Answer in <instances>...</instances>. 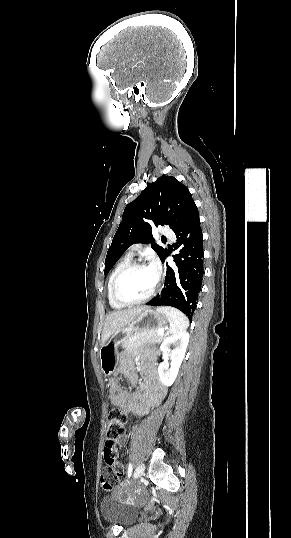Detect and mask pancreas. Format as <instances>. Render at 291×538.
I'll return each mask as SVG.
<instances>
[{
	"mask_svg": "<svg viewBox=\"0 0 291 538\" xmlns=\"http://www.w3.org/2000/svg\"><path fill=\"white\" fill-rule=\"evenodd\" d=\"M167 334L159 335L157 330L139 331L130 335L122 343L125 349H138L145 344H160Z\"/></svg>",
	"mask_w": 291,
	"mask_h": 538,
	"instance_id": "obj_1",
	"label": "pancreas"
}]
</instances>
